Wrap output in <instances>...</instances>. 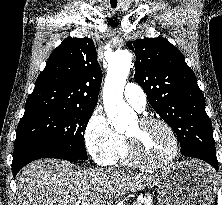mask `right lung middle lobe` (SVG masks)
<instances>
[{
    "label": "right lung middle lobe",
    "instance_id": "obj_1",
    "mask_svg": "<svg viewBox=\"0 0 222 205\" xmlns=\"http://www.w3.org/2000/svg\"><path fill=\"white\" fill-rule=\"evenodd\" d=\"M93 110L52 108L24 114L17 127L15 143L45 142L64 149L71 156L87 160L84 131Z\"/></svg>",
    "mask_w": 222,
    "mask_h": 205
}]
</instances>
